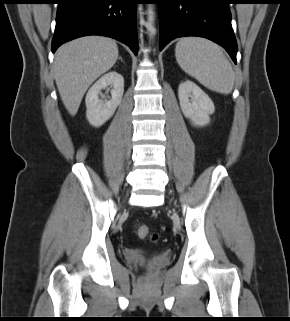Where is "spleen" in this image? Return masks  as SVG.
I'll use <instances>...</instances> for the list:
<instances>
[{
	"mask_svg": "<svg viewBox=\"0 0 290 321\" xmlns=\"http://www.w3.org/2000/svg\"><path fill=\"white\" fill-rule=\"evenodd\" d=\"M180 67L205 87L229 94L234 86V72L222 49L197 37L182 38L175 48Z\"/></svg>",
	"mask_w": 290,
	"mask_h": 321,
	"instance_id": "spleen-1",
	"label": "spleen"
}]
</instances>
